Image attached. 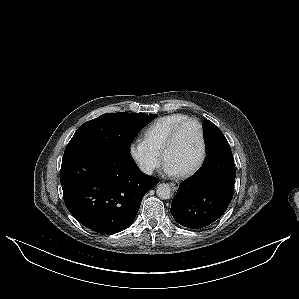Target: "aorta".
<instances>
[{"mask_svg":"<svg viewBox=\"0 0 299 299\" xmlns=\"http://www.w3.org/2000/svg\"><path fill=\"white\" fill-rule=\"evenodd\" d=\"M156 193L161 199H169L172 196V190L168 183H160L157 186Z\"/></svg>","mask_w":299,"mask_h":299,"instance_id":"762f6f07","label":"aorta"}]
</instances>
